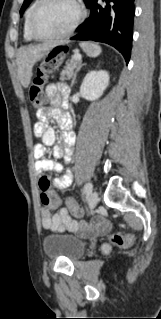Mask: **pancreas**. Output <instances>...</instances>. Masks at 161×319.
Returning a JSON list of instances; mask_svg holds the SVG:
<instances>
[{"instance_id":"cf45deb5","label":"pancreas","mask_w":161,"mask_h":319,"mask_svg":"<svg viewBox=\"0 0 161 319\" xmlns=\"http://www.w3.org/2000/svg\"><path fill=\"white\" fill-rule=\"evenodd\" d=\"M79 66V61L72 58L70 59L65 67H64V70H62L61 72V80L62 81H65L67 79H70L75 73H74V70L77 69Z\"/></svg>"}]
</instances>
